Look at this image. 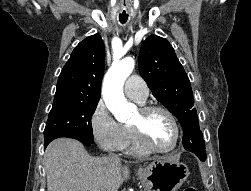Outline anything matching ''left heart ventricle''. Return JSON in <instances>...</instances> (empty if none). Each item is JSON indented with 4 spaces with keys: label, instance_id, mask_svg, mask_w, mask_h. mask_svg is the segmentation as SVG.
<instances>
[{
    "label": "left heart ventricle",
    "instance_id": "left-heart-ventricle-1",
    "mask_svg": "<svg viewBox=\"0 0 251 191\" xmlns=\"http://www.w3.org/2000/svg\"><path fill=\"white\" fill-rule=\"evenodd\" d=\"M144 124L150 143L159 150H171L177 141L175 127L171 119L163 112L156 111L145 116L140 110L132 124Z\"/></svg>",
    "mask_w": 251,
    "mask_h": 191
}]
</instances>
